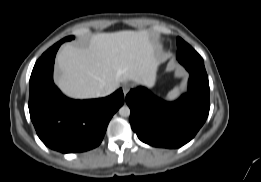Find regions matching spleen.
<instances>
[{
	"label": "spleen",
	"mask_w": 261,
	"mask_h": 182,
	"mask_svg": "<svg viewBox=\"0 0 261 182\" xmlns=\"http://www.w3.org/2000/svg\"><path fill=\"white\" fill-rule=\"evenodd\" d=\"M181 89H182L181 86H180V87H179V86L175 87V88L168 94V98H169V99H174V98H176V97L179 95Z\"/></svg>",
	"instance_id": "1"
}]
</instances>
